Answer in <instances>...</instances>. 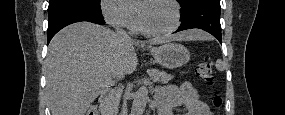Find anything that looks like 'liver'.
Returning <instances> with one entry per match:
<instances>
[{
    "instance_id": "6515ba94",
    "label": "liver",
    "mask_w": 285,
    "mask_h": 115,
    "mask_svg": "<svg viewBox=\"0 0 285 115\" xmlns=\"http://www.w3.org/2000/svg\"><path fill=\"white\" fill-rule=\"evenodd\" d=\"M207 37L200 30H189L170 39L154 38L149 44ZM135 46H139L138 41L119 38L109 29L90 22L71 24L59 31L48 46L45 60L52 115H84L119 73L135 71L138 63Z\"/></svg>"
}]
</instances>
